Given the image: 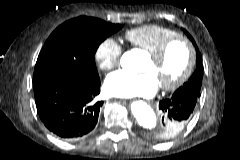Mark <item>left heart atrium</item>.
Listing matches in <instances>:
<instances>
[{
	"label": "left heart atrium",
	"mask_w": 240,
	"mask_h": 160,
	"mask_svg": "<svg viewBox=\"0 0 240 160\" xmlns=\"http://www.w3.org/2000/svg\"><path fill=\"white\" fill-rule=\"evenodd\" d=\"M104 88L109 95L117 97H152L158 91L159 83L150 72L134 74L119 70L106 78Z\"/></svg>",
	"instance_id": "left-heart-atrium-1"
}]
</instances>
